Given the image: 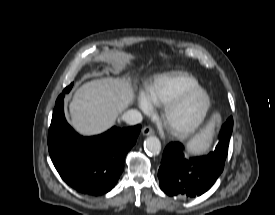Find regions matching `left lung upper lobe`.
Wrapping results in <instances>:
<instances>
[{
  "label": "left lung upper lobe",
  "instance_id": "obj_1",
  "mask_svg": "<svg viewBox=\"0 0 275 215\" xmlns=\"http://www.w3.org/2000/svg\"><path fill=\"white\" fill-rule=\"evenodd\" d=\"M233 127V119L232 117L228 118L225 124H223L221 132L219 134V143L215 148L214 152H210V154L214 157H216L219 160L225 161L227 157V152H228V143H223L224 136L223 133L227 129H232Z\"/></svg>",
  "mask_w": 275,
  "mask_h": 215
}]
</instances>
